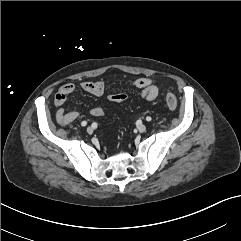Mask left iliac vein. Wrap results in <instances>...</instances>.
Instances as JSON below:
<instances>
[{
  "label": "left iliac vein",
  "instance_id": "left-iliac-vein-1",
  "mask_svg": "<svg viewBox=\"0 0 241 241\" xmlns=\"http://www.w3.org/2000/svg\"><path fill=\"white\" fill-rule=\"evenodd\" d=\"M138 131H139V132H145V131H146V126H145L144 124H140V125L138 126Z\"/></svg>",
  "mask_w": 241,
  "mask_h": 241
}]
</instances>
